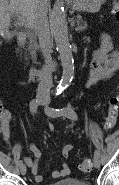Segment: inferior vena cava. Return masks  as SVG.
<instances>
[{"label":"inferior vena cava","instance_id":"602c4592","mask_svg":"<svg viewBox=\"0 0 119 185\" xmlns=\"http://www.w3.org/2000/svg\"><path fill=\"white\" fill-rule=\"evenodd\" d=\"M47 0H41V3L36 11L34 31L38 36L40 49L45 59V65L42 68L40 82L37 89V97L44 99H50V89L52 85V72L49 68L51 58V42H50V31L49 23L47 18L46 9Z\"/></svg>","mask_w":119,"mask_h":185}]
</instances>
